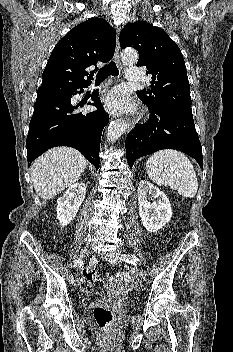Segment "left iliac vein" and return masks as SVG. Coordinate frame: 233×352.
Segmentation results:
<instances>
[{
    "label": "left iliac vein",
    "instance_id": "4c4485c4",
    "mask_svg": "<svg viewBox=\"0 0 233 352\" xmlns=\"http://www.w3.org/2000/svg\"><path fill=\"white\" fill-rule=\"evenodd\" d=\"M122 255L119 251H110V252H103L101 253V257L112 262H118V261H122L118 258V256ZM147 277V274L144 270H140L139 271V279L140 280H145Z\"/></svg>",
    "mask_w": 233,
    "mask_h": 352
}]
</instances>
